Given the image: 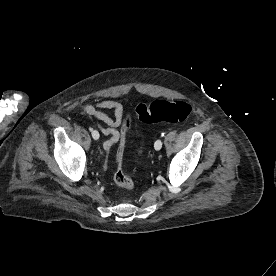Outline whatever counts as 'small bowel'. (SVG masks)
I'll use <instances>...</instances> for the list:
<instances>
[{
	"label": "small bowel",
	"mask_w": 276,
	"mask_h": 276,
	"mask_svg": "<svg viewBox=\"0 0 276 276\" xmlns=\"http://www.w3.org/2000/svg\"><path fill=\"white\" fill-rule=\"evenodd\" d=\"M83 112L105 124L97 123L96 126L99 131L108 136L103 146L105 150H109L115 143L123 139V134L118 128L124 124V107L120 102L114 100H102L96 104H85L82 107ZM107 110L113 112V116L106 113Z\"/></svg>",
	"instance_id": "1"
}]
</instances>
